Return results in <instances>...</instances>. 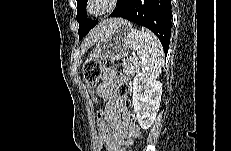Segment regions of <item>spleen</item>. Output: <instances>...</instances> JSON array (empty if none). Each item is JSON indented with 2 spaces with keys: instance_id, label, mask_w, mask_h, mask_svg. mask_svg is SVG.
Segmentation results:
<instances>
[{
  "instance_id": "1",
  "label": "spleen",
  "mask_w": 231,
  "mask_h": 151,
  "mask_svg": "<svg viewBox=\"0 0 231 151\" xmlns=\"http://www.w3.org/2000/svg\"><path fill=\"white\" fill-rule=\"evenodd\" d=\"M128 43L135 54L134 62L148 78L156 79L163 66V47L155 34L146 28L132 30Z\"/></svg>"
}]
</instances>
